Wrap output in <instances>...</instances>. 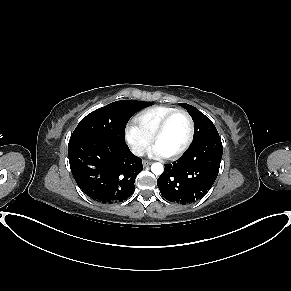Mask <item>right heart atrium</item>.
I'll return each instance as SVG.
<instances>
[{"label":"right heart atrium","instance_id":"1","mask_svg":"<svg viewBox=\"0 0 291 291\" xmlns=\"http://www.w3.org/2000/svg\"><path fill=\"white\" fill-rule=\"evenodd\" d=\"M125 138L132 152L137 156H141L151 143V137L134 123L126 127Z\"/></svg>","mask_w":291,"mask_h":291}]
</instances>
